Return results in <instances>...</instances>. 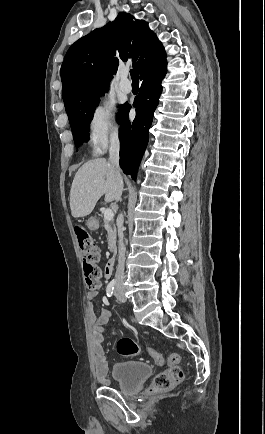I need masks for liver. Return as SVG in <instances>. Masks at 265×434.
Segmentation results:
<instances>
[{
  "label": "liver",
  "instance_id": "obj_1",
  "mask_svg": "<svg viewBox=\"0 0 265 434\" xmlns=\"http://www.w3.org/2000/svg\"><path fill=\"white\" fill-rule=\"evenodd\" d=\"M123 192L121 174L105 158L90 160L79 168L72 182L70 208L73 218H84L105 194V202H120Z\"/></svg>",
  "mask_w": 265,
  "mask_h": 434
}]
</instances>
